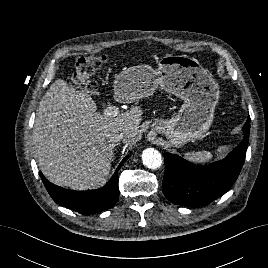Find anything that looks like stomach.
Wrapping results in <instances>:
<instances>
[{
  "label": "stomach",
  "mask_w": 268,
  "mask_h": 268,
  "mask_svg": "<svg viewBox=\"0 0 268 268\" xmlns=\"http://www.w3.org/2000/svg\"><path fill=\"white\" fill-rule=\"evenodd\" d=\"M158 87L176 95L184 104L171 119L156 120L152 130L165 135L174 147L201 139L212 125L220 97L219 86L210 73L190 56L166 55L159 60L158 69L133 66L114 81L116 97L125 102L152 96Z\"/></svg>",
  "instance_id": "0dacf381"
}]
</instances>
